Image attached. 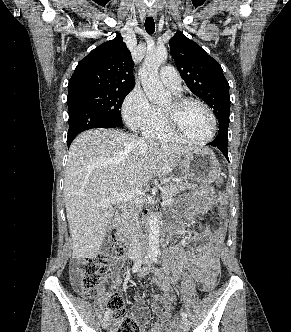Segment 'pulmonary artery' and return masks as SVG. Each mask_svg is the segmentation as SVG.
Segmentation results:
<instances>
[{
	"mask_svg": "<svg viewBox=\"0 0 291 332\" xmlns=\"http://www.w3.org/2000/svg\"><path fill=\"white\" fill-rule=\"evenodd\" d=\"M159 77L161 82L174 93H179L181 91V79L174 67H162Z\"/></svg>",
	"mask_w": 291,
	"mask_h": 332,
	"instance_id": "1",
	"label": "pulmonary artery"
}]
</instances>
